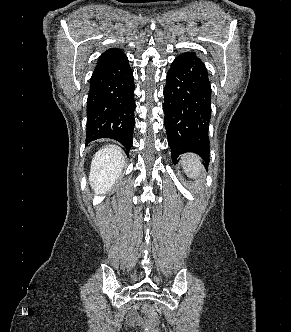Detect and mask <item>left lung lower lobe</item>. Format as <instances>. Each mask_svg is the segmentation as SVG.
<instances>
[{"label": "left lung lower lobe", "mask_w": 291, "mask_h": 332, "mask_svg": "<svg viewBox=\"0 0 291 332\" xmlns=\"http://www.w3.org/2000/svg\"><path fill=\"white\" fill-rule=\"evenodd\" d=\"M164 97V125L172 160L194 152L208 163L211 85L204 63L194 52L183 53L172 62Z\"/></svg>", "instance_id": "0a47b994"}]
</instances>
